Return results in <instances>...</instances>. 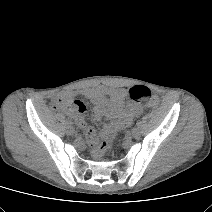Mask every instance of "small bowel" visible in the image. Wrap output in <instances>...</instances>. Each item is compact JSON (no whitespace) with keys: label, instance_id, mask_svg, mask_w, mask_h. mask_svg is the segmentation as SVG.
Here are the masks:
<instances>
[{"label":"small bowel","instance_id":"obj_1","mask_svg":"<svg viewBox=\"0 0 212 212\" xmlns=\"http://www.w3.org/2000/svg\"><path fill=\"white\" fill-rule=\"evenodd\" d=\"M82 94L94 105L95 118L109 121L102 129V137H107L121 128L128 127L134 118L143 112V106L140 104H125V94L118 89L98 86L87 89ZM78 124L83 129L88 142L96 146L98 138L94 128L87 125L81 118L78 119ZM96 153L98 152L96 151Z\"/></svg>","mask_w":212,"mask_h":212}]
</instances>
